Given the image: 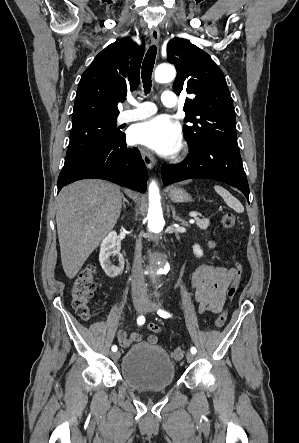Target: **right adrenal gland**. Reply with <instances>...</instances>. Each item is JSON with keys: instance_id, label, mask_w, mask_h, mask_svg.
<instances>
[{"instance_id": "1", "label": "right adrenal gland", "mask_w": 299, "mask_h": 443, "mask_svg": "<svg viewBox=\"0 0 299 443\" xmlns=\"http://www.w3.org/2000/svg\"><path fill=\"white\" fill-rule=\"evenodd\" d=\"M126 203L128 204L129 203V201L124 197V195H123V208L125 209L126 208Z\"/></svg>"}]
</instances>
